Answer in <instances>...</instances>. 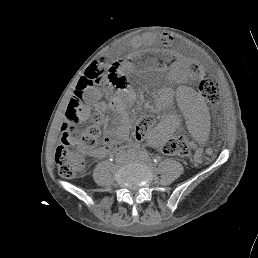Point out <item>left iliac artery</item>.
<instances>
[{
    "label": "left iliac artery",
    "instance_id": "obj_1",
    "mask_svg": "<svg viewBox=\"0 0 258 258\" xmlns=\"http://www.w3.org/2000/svg\"><path fill=\"white\" fill-rule=\"evenodd\" d=\"M146 155L147 154H144V153L141 154L142 157H146ZM156 160H160V157H157L156 159H154V161H156Z\"/></svg>",
    "mask_w": 258,
    "mask_h": 258
}]
</instances>
